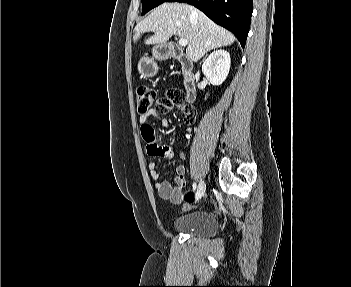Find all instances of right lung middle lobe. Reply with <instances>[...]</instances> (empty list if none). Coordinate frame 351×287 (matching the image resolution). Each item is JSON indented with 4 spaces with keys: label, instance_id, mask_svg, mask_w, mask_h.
Masks as SVG:
<instances>
[{
    "label": "right lung middle lobe",
    "instance_id": "right-lung-middle-lobe-1",
    "mask_svg": "<svg viewBox=\"0 0 351 287\" xmlns=\"http://www.w3.org/2000/svg\"><path fill=\"white\" fill-rule=\"evenodd\" d=\"M166 0H142V15L164 3Z\"/></svg>",
    "mask_w": 351,
    "mask_h": 287
}]
</instances>
